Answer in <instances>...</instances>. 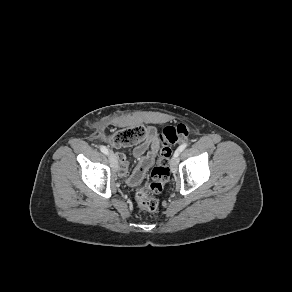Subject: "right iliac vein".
<instances>
[{"label":"right iliac vein","instance_id":"63e3f726","mask_svg":"<svg viewBox=\"0 0 292 292\" xmlns=\"http://www.w3.org/2000/svg\"><path fill=\"white\" fill-rule=\"evenodd\" d=\"M109 160H110L112 168L114 170H117L118 162H117L116 156L112 152L109 154Z\"/></svg>","mask_w":292,"mask_h":292}]
</instances>
